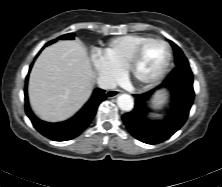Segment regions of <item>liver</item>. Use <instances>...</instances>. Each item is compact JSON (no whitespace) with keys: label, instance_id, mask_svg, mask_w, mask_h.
<instances>
[{"label":"liver","instance_id":"6515ba94","mask_svg":"<svg viewBox=\"0 0 222 187\" xmlns=\"http://www.w3.org/2000/svg\"><path fill=\"white\" fill-rule=\"evenodd\" d=\"M94 71L77 41H58L46 47L32 68L29 100L34 112L50 122L75 114L91 95Z\"/></svg>","mask_w":222,"mask_h":187}]
</instances>
